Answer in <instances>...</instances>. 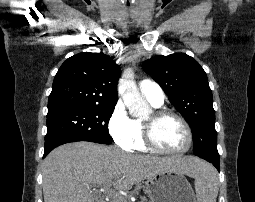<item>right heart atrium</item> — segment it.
<instances>
[{
  "label": "right heart atrium",
  "instance_id": "obj_1",
  "mask_svg": "<svg viewBox=\"0 0 255 202\" xmlns=\"http://www.w3.org/2000/svg\"><path fill=\"white\" fill-rule=\"evenodd\" d=\"M107 128L113 142L120 148L132 149L134 141L133 120L129 117L123 104H117L107 123Z\"/></svg>",
  "mask_w": 255,
  "mask_h": 202
}]
</instances>
